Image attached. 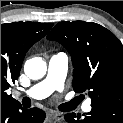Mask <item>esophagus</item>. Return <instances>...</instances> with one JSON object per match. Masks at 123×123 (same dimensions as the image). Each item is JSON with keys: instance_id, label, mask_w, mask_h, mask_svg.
<instances>
[{"instance_id": "esophagus-1", "label": "esophagus", "mask_w": 123, "mask_h": 123, "mask_svg": "<svg viewBox=\"0 0 123 123\" xmlns=\"http://www.w3.org/2000/svg\"><path fill=\"white\" fill-rule=\"evenodd\" d=\"M49 116L52 117L55 121L63 120V114L60 112H51Z\"/></svg>"}]
</instances>
